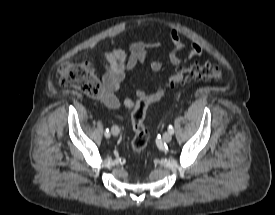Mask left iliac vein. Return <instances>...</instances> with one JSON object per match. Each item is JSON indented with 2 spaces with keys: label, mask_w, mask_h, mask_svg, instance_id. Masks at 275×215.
<instances>
[{
  "label": "left iliac vein",
  "mask_w": 275,
  "mask_h": 215,
  "mask_svg": "<svg viewBox=\"0 0 275 215\" xmlns=\"http://www.w3.org/2000/svg\"><path fill=\"white\" fill-rule=\"evenodd\" d=\"M163 140L165 141V142H170L171 141V139H172V134L168 131V132H165L164 134H163Z\"/></svg>",
  "instance_id": "left-iliac-vein-1"
}]
</instances>
